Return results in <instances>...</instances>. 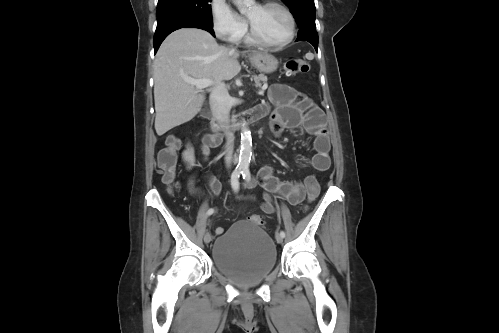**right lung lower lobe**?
Here are the masks:
<instances>
[{
	"mask_svg": "<svg viewBox=\"0 0 499 333\" xmlns=\"http://www.w3.org/2000/svg\"><path fill=\"white\" fill-rule=\"evenodd\" d=\"M199 28L208 31L211 33L213 36L214 31H213V24H209L206 22L202 21H180V22H174L167 24L161 28H157L155 35H154V50L155 53L158 50L160 44L162 41L173 31L180 29V28Z\"/></svg>",
	"mask_w": 499,
	"mask_h": 333,
	"instance_id": "obj_1",
	"label": "right lung lower lobe"
}]
</instances>
